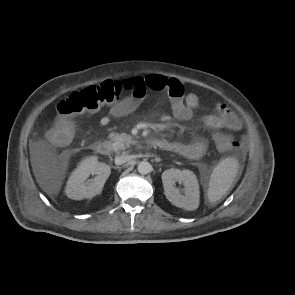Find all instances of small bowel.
<instances>
[{"mask_svg":"<svg viewBox=\"0 0 295 295\" xmlns=\"http://www.w3.org/2000/svg\"><path fill=\"white\" fill-rule=\"evenodd\" d=\"M130 81L134 86L133 93L110 107L108 114L100 120L102 126H107L113 118H120L134 112L141 105L149 90L167 93L172 114L179 121L189 120L193 116L194 110L199 106L198 95L195 93L186 94L183 84L175 78L150 74L144 78H132ZM204 124L211 130L229 129L237 131L241 127L238 117L228 106L222 103L217 104L216 113L208 115ZM162 142L161 149L191 159L202 157L208 148V141L205 138H199L188 143L167 140H162Z\"/></svg>","mask_w":295,"mask_h":295,"instance_id":"1","label":"small bowel"}]
</instances>
